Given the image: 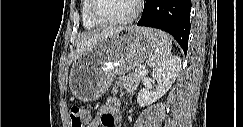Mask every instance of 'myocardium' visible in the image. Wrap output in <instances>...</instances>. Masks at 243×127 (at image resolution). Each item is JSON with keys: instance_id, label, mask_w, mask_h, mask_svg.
Wrapping results in <instances>:
<instances>
[{"instance_id": "f54148a6", "label": "myocardium", "mask_w": 243, "mask_h": 127, "mask_svg": "<svg viewBox=\"0 0 243 127\" xmlns=\"http://www.w3.org/2000/svg\"><path fill=\"white\" fill-rule=\"evenodd\" d=\"M98 0H91V7H90V16L92 20L101 26H120L124 24H128L132 21H134L140 14L142 10V0H134L135 1V8L134 11L127 17L118 19V20H104L101 19L96 12V6H97Z\"/></svg>"}]
</instances>
